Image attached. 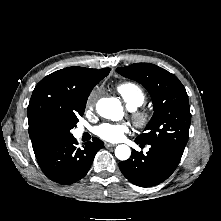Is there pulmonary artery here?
<instances>
[{"instance_id": "obj_1", "label": "pulmonary artery", "mask_w": 221, "mask_h": 221, "mask_svg": "<svg viewBox=\"0 0 221 221\" xmlns=\"http://www.w3.org/2000/svg\"><path fill=\"white\" fill-rule=\"evenodd\" d=\"M83 132H84V129H82V128H78V129H76V135H77V136L82 135Z\"/></svg>"}]
</instances>
